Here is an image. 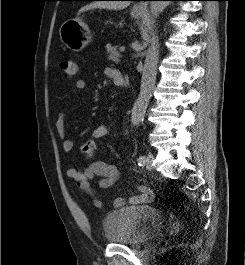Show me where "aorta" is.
Masks as SVG:
<instances>
[{
    "instance_id": "aorta-1",
    "label": "aorta",
    "mask_w": 245,
    "mask_h": 265,
    "mask_svg": "<svg viewBox=\"0 0 245 265\" xmlns=\"http://www.w3.org/2000/svg\"><path fill=\"white\" fill-rule=\"evenodd\" d=\"M169 1H151L150 12L155 18L168 6ZM158 42L155 37L151 39V45L146 52L144 67L141 77V87L138 98L136 99L131 113V123L137 126L144 118L147 106L152 97L156 82L157 63H158Z\"/></svg>"
}]
</instances>
